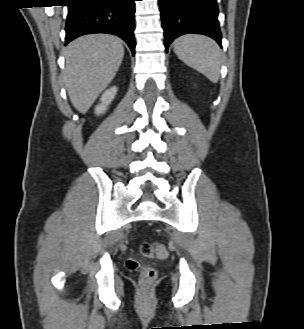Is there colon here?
I'll return each instance as SVG.
<instances>
[{"mask_svg":"<svg viewBox=\"0 0 304 329\" xmlns=\"http://www.w3.org/2000/svg\"><path fill=\"white\" fill-rule=\"evenodd\" d=\"M141 253L147 258L163 260L167 257V250L163 244L144 242L141 245ZM126 267L129 270H139V280L142 284H150L156 278V271L150 266H141L134 258L126 261Z\"/></svg>","mask_w":304,"mask_h":329,"instance_id":"colon-1","label":"colon"}]
</instances>
